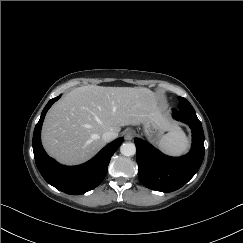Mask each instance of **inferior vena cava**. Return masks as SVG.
Instances as JSON below:
<instances>
[{
    "label": "inferior vena cava",
    "mask_w": 243,
    "mask_h": 243,
    "mask_svg": "<svg viewBox=\"0 0 243 243\" xmlns=\"http://www.w3.org/2000/svg\"><path fill=\"white\" fill-rule=\"evenodd\" d=\"M117 137V133L113 132V131H107L105 133L102 134V139L105 142H110L113 139H115Z\"/></svg>",
    "instance_id": "602c4592"
}]
</instances>
